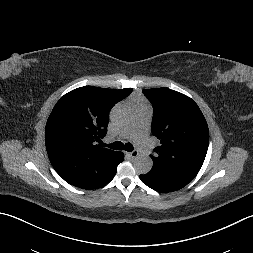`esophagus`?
<instances>
[{
    "mask_svg": "<svg viewBox=\"0 0 253 253\" xmlns=\"http://www.w3.org/2000/svg\"><path fill=\"white\" fill-rule=\"evenodd\" d=\"M128 155L131 157V158H136L139 156V152L137 150H134L132 152H129Z\"/></svg>",
    "mask_w": 253,
    "mask_h": 253,
    "instance_id": "obj_1",
    "label": "esophagus"
}]
</instances>
